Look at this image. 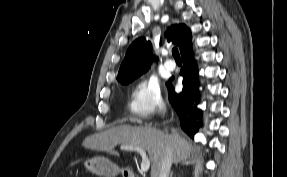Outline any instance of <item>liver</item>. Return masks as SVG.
<instances>
[{
  "mask_svg": "<svg viewBox=\"0 0 287 177\" xmlns=\"http://www.w3.org/2000/svg\"><path fill=\"white\" fill-rule=\"evenodd\" d=\"M118 144L137 146L146 150L151 160V177L167 147L170 148L174 163L186 160L192 152L191 145L178 132L168 134L151 126L120 125L88 136L82 143L87 149L105 151L113 155H119L115 151V146Z\"/></svg>",
  "mask_w": 287,
  "mask_h": 177,
  "instance_id": "obj_1",
  "label": "liver"
}]
</instances>
